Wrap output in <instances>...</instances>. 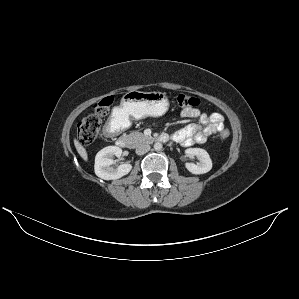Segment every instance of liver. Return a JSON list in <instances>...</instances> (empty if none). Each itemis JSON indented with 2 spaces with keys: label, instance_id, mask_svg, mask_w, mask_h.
<instances>
[{
  "label": "liver",
  "instance_id": "6515ba94",
  "mask_svg": "<svg viewBox=\"0 0 299 299\" xmlns=\"http://www.w3.org/2000/svg\"><path fill=\"white\" fill-rule=\"evenodd\" d=\"M74 145H75V148H76L78 154L81 156V158L84 161H87L88 160V154H87L86 149L79 143V141L77 139L74 140Z\"/></svg>",
  "mask_w": 299,
  "mask_h": 299
}]
</instances>
